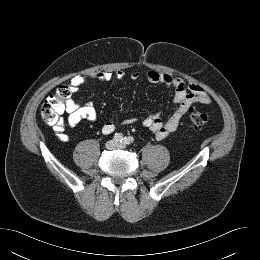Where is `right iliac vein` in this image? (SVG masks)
Segmentation results:
<instances>
[{
    "label": "right iliac vein",
    "mask_w": 260,
    "mask_h": 260,
    "mask_svg": "<svg viewBox=\"0 0 260 260\" xmlns=\"http://www.w3.org/2000/svg\"><path fill=\"white\" fill-rule=\"evenodd\" d=\"M116 147V143L113 140H110L106 143V148L107 149H114Z\"/></svg>",
    "instance_id": "obj_1"
}]
</instances>
